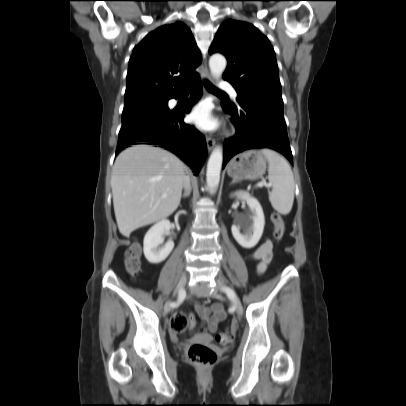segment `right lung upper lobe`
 I'll use <instances>...</instances> for the list:
<instances>
[{
	"instance_id": "1",
	"label": "right lung upper lobe",
	"mask_w": 406,
	"mask_h": 406,
	"mask_svg": "<svg viewBox=\"0 0 406 406\" xmlns=\"http://www.w3.org/2000/svg\"><path fill=\"white\" fill-rule=\"evenodd\" d=\"M200 53L182 22L150 32L135 46L129 60L125 106L151 99H170L184 84L199 78Z\"/></svg>"
}]
</instances>
